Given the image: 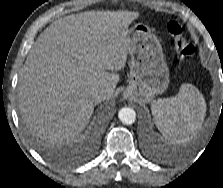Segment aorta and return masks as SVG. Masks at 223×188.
Wrapping results in <instances>:
<instances>
[{"mask_svg":"<svg viewBox=\"0 0 223 188\" xmlns=\"http://www.w3.org/2000/svg\"><path fill=\"white\" fill-rule=\"evenodd\" d=\"M119 120L126 125H131L136 121V113L134 109L123 107L118 112Z\"/></svg>","mask_w":223,"mask_h":188,"instance_id":"762f6f07","label":"aorta"}]
</instances>
